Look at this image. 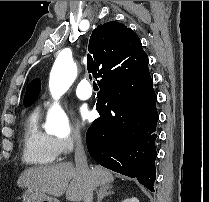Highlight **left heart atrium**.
<instances>
[{
	"instance_id": "obj_1",
	"label": "left heart atrium",
	"mask_w": 209,
	"mask_h": 202,
	"mask_svg": "<svg viewBox=\"0 0 209 202\" xmlns=\"http://www.w3.org/2000/svg\"><path fill=\"white\" fill-rule=\"evenodd\" d=\"M92 119V112L86 108H82L79 112V121L82 125L87 124Z\"/></svg>"
}]
</instances>
